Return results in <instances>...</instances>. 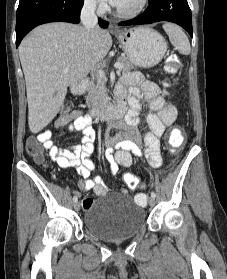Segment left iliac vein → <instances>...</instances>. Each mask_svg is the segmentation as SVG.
Returning <instances> with one entry per match:
<instances>
[{
	"instance_id": "left-iliac-vein-1",
	"label": "left iliac vein",
	"mask_w": 227,
	"mask_h": 279,
	"mask_svg": "<svg viewBox=\"0 0 227 279\" xmlns=\"http://www.w3.org/2000/svg\"><path fill=\"white\" fill-rule=\"evenodd\" d=\"M148 202H149V205H150V206H154V205H155V198H154V197H150V198L148 199Z\"/></svg>"
}]
</instances>
